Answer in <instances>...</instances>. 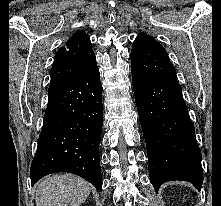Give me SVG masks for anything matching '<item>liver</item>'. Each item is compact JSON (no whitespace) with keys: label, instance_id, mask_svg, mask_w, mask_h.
I'll use <instances>...</instances> for the list:
<instances>
[{"label":"liver","instance_id":"6515ba94","mask_svg":"<svg viewBox=\"0 0 221 206\" xmlns=\"http://www.w3.org/2000/svg\"><path fill=\"white\" fill-rule=\"evenodd\" d=\"M90 191L91 185L76 175L45 177L36 187V206H80Z\"/></svg>","mask_w":221,"mask_h":206}]
</instances>
